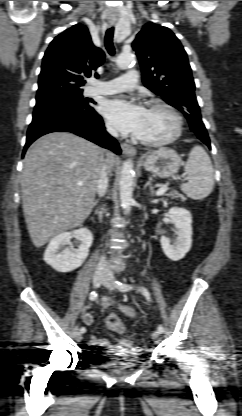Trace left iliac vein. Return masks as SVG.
Segmentation results:
<instances>
[{
  "instance_id": "1",
  "label": "left iliac vein",
  "mask_w": 242,
  "mask_h": 416,
  "mask_svg": "<svg viewBox=\"0 0 242 416\" xmlns=\"http://www.w3.org/2000/svg\"><path fill=\"white\" fill-rule=\"evenodd\" d=\"M114 280H115L114 277L111 274L107 273L105 275L104 280L102 281V285L109 288V289H114L115 288ZM159 336H160L159 331H154L152 333V338L155 339V340H157L159 338Z\"/></svg>"
}]
</instances>
